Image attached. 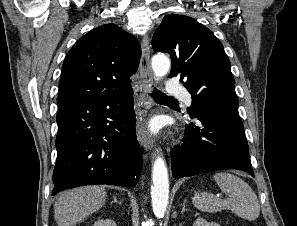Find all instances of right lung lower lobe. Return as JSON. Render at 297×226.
<instances>
[{"mask_svg":"<svg viewBox=\"0 0 297 226\" xmlns=\"http://www.w3.org/2000/svg\"><path fill=\"white\" fill-rule=\"evenodd\" d=\"M133 104V91H129L59 105L52 195L91 184H137L142 155Z\"/></svg>","mask_w":297,"mask_h":226,"instance_id":"1","label":"right lung lower lobe"}]
</instances>
